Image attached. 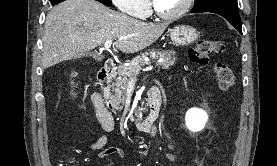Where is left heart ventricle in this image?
Segmentation results:
<instances>
[{
    "instance_id": "b2bd125f",
    "label": "left heart ventricle",
    "mask_w": 277,
    "mask_h": 166,
    "mask_svg": "<svg viewBox=\"0 0 277 166\" xmlns=\"http://www.w3.org/2000/svg\"><path fill=\"white\" fill-rule=\"evenodd\" d=\"M185 0H154L156 6L163 13H174L179 10Z\"/></svg>"
}]
</instances>
